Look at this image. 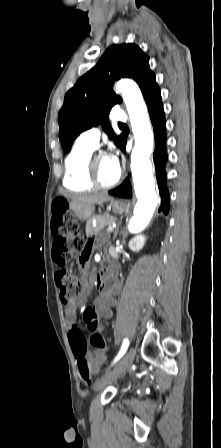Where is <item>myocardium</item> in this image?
<instances>
[{
  "mask_svg": "<svg viewBox=\"0 0 221 448\" xmlns=\"http://www.w3.org/2000/svg\"><path fill=\"white\" fill-rule=\"evenodd\" d=\"M101 154L107 155L106 153H102V152L94 153V154L90 155L89 160H88V177H89L90 182L95 187L101 188V189H109V188L116 186L119 183V181L121 179V174L118 173L117 177L112 182H109V183L103 182L98 175L97 164H96V159Z\"/></svg>",
  "mask_w": 221,
  "mask_h": 448,
  "instance_id": "f54148a6",
  "label": "myocardium"
}]
</instances>
